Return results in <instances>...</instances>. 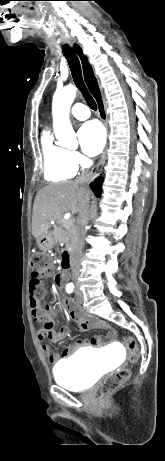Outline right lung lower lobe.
Instances as JSON below:
<instances>
[{
    "mask_svg": "<svg viewBox=\"0 0 165 461\" xmlns=\"http://www.w3.org/2000/svg\"><path fill=\"white\" fill-rule=\"evenodd\" d=\"M102 182H103V179L99 176L98 178L94 180V182L90 184V188L92 189V191L97 197H100L101 195Z\"/></svg>",
    "mask_w": 165,
    "mask_h": 461,
    "instance_id": "1",
    "label": "right lung lower lobe"
}]
</instances>
